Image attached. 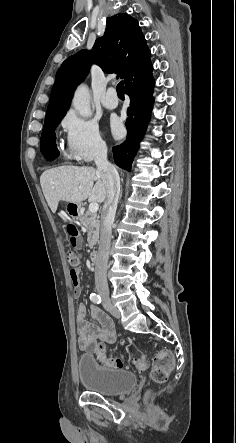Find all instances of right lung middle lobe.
<instances>
[{
    "label": "right lung middle lobe",
    "instance_id": "1",
    "mask_svg": "<svg viewBox=\"0 0 236 443\" xmlns=\"http://www.w3.org/2000/svg\"><path fill=\"white\" fill-rule=\"evenodd\" d=\"M65 113L53 116L45 120L44 128L41 135L40 149L41 152L56 146V135L54 130L64 117Z\"/></svg>",
    "mask_w": 236,
    "mask_h": 443
}]
</instances>
